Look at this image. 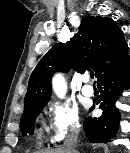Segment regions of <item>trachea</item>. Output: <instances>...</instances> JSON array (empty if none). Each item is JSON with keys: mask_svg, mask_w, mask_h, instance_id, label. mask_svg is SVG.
Wrapping results in <instances>:
<instances>
[{"mask_svg": "<svg viewBox=\"0 0 130 153\" xmlns=\"http://www.w3.org/2000/svg\"><path fill=\"white\" fill-rule=\"evenodd\" d=\"M90 77H91V79H93V78H94V74L91 73V74H90ZM94 84H95V82H94Z\"/></svg>", "mask_w": 130, "mask_h": 153, "instance_id": "trachea-1", "label": "trachea"}]
</instances>
